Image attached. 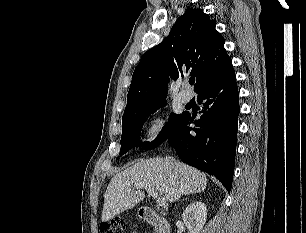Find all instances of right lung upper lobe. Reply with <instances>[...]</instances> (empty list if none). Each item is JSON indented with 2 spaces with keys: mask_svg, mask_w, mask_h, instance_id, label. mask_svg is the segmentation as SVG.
<instances>
[{
  "mask_svg": "<svg viewBox=\"0 0 306 233\" xmlns=\"http://www.w3.org/2000/svg\"><path fill=\"white\" fill-rule=\"evenodd\" d=\"M215 26L216 21L203 10L188 8L168 37L142 55L132 76L123 117L166 101L169 76H196L194 90L199 93L232 70L224 38Z\"/></svg>",
  "mask_w": 306,
  "mask_h": 233,
  "instance_id": "1",
  "label": "right lung upper lobe"
}]
</instances>
